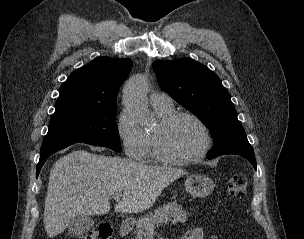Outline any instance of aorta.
I'll return each instance as SVG.
<instances>
[{"label":"aorta","instance_id":"aorta-1","mask_svg":"<svg viewBox=\"0 0 304 239\" xmlns=\"http://www.w3.org/2000/svg\"><path fill=\"white\" fill-rule=\"evenodd\" d=\"M146 95L147 82L142 76L129 80L123 90L124 104L135 110L136 116L141 122L149 119Z\"/></svg>","mask_w":304,"mask_h":239}]
</instances>
